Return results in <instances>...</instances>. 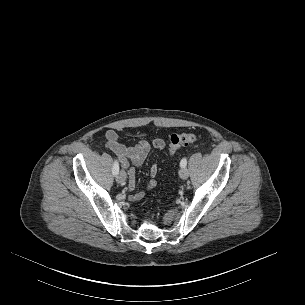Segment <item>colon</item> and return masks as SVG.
Wrapping results in <instances>:
<instances>
[{"instance_id": "1", "label": "colon", "mask_w": 305, "mask_h": 305, "mask_svg": "<svg viewBox=\"0 0 305 305\" xmlns=\"http://www.w3.org/2000/svg\"><path fill=\"white\" fill-rule=\"evenodd\" d=\"M199 136L193 133L172 134L169 138L170 153L173 154L177 149L192 144L199 140Z\"/></svg>"}]
</instances>
